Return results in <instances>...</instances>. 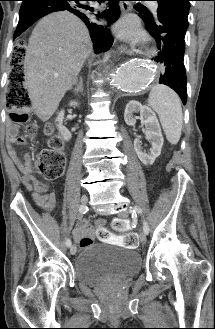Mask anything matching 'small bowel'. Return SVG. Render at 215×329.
<instances>
[{"mask_svg": "<svg viewBox=\"0 0 215 329\" xmlns=\"http://www.w3.org/2000/svg\"><path fill=\"white\" fill-rule=\"evenodd\" d=\"M25 140L23 138L17 137V129L15 127L10 128V135L8 139V150L10 156L14 159L17 164L19 170L25 176L27 180H29L33 186V199L35 203L46 211H53L57 204V198L54 193L47 192V184L42 181L37 180L34 177V171L31 165L32 156L30 154H26L24 156V161H20L17 158V154L14 150L15 144H23ZM96 225H90L86 221H82L74 230V233L77 238H79V244L81 247H85L81 244V239L84 236H89L92 232H95V236L97 237L98 242H110V243H119L120 238L111 235V230L109 225H104V219L96 220ZM87 234V235H86Z\"/></svg>", "mask_w": 215, "mask_h": 329, "instance_id": "small-bowel-1", "label": "small bowel"}]
</instances>
